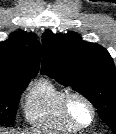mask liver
<instances>
[{
  "label": "liver",
  "instance_id": "obj_1",
  "mask_svg": "<svg viewBox=\"0 0 116 134\" xmlns=\"http://www.w3.org/2000/svg\"><path fill=\"white\" fill-rule=\"evenodd\" d=\"M0 134H38L37 132L35 131H26V132H22V133H19V132H6V131H0Z\"/></svg>",
  "mask_w": 116,
  "mask_h": 134
}]
</instances>
